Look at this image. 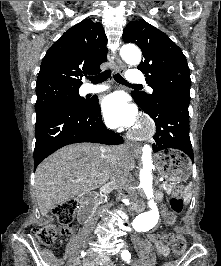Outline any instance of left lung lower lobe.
Returning a JSON list of instances; mask_svg holds the SVG:
<instances>
[{
	"mask_svg": "<svg viewBox=\"0 0 221 266\" xmlns=\"http://www.w3.org/2000/svg\"><path fill=\"white\" fill-rule=\"evenodd\" d=\"M135 103L155 121V143L152 145L155 152L179 150L194 160L189 137V104L177 100H164L155 110H148L138 101L135 100Z\"/></svg>",
	"mask_w": 221,
	"mask_h": 266,
	"instance_id": "0a47b994",
	"label": "left lung lower lobe"
}]
</instances>
